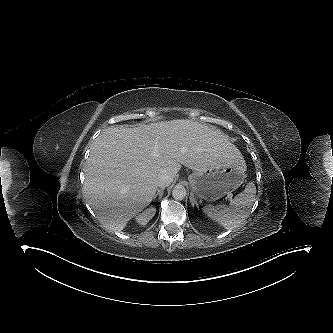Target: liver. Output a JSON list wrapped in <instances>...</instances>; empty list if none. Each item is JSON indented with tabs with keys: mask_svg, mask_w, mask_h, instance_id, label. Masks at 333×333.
Instances as JSON below:
<instances>
[{
	"mask_svg": "<svg viewBox=\"0 0 333 333\" xmlns=\"http://www.w3.org/2000/svg\"><path fill=\"white\" fill-rule=\"evenodd\" d=\"M239 158L221 131L191 120L110 126L91 148L84 194L106 228L122 231L153 200L160 174L174 178L181 165L205 171Z\"/></svg>",
	"mask_w": 333,
	"mask_h": 333,
	"instance_id": "obj_1",
	"label": "liver"
}]
</instances>
